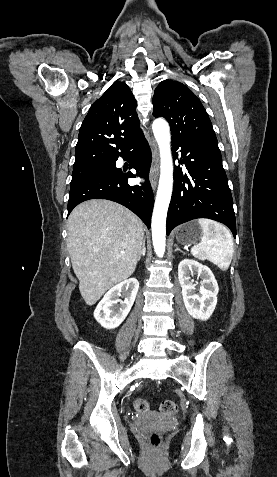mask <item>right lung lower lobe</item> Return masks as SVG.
<instances>
[{
  "mask_svg": "<svg viewBox=\"0 0 277 477\" xmlns=\"http://www.w3.org/2000/svg\"><path fill=\"white\" fill-rule=\"evenodd\" d=\"M130 159V168L137 174L116 168L118 157ZM109 162L111 167L100 170L71 185L68 200V215L79 203L89 199H108L120 203L133 211L150 228L154 196L148 179L151 151L145 137ZM143 177L145 183L130 186L128 178Z\"/></svg>",
  "mask_w": 277,
  "mask_h": 477,
  "instance_id": "obj_1",
  "label": "right lung lower lobe"
}]
</instances>
